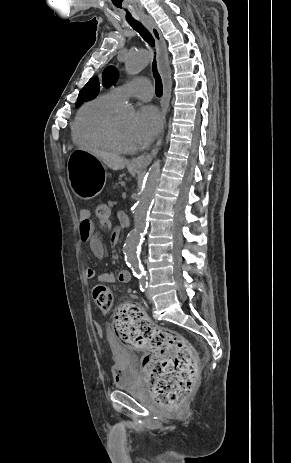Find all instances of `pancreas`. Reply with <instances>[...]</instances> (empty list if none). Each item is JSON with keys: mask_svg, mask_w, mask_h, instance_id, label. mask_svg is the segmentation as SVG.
Segmentation results:
<instances>
[{"mask_svg": "<svg viewBox=\"0 0 291 463\" xmlns=\"http://www.w3.org/2000/svg\"><path fill=\"white\" fill-rule=\"evenodd\" d=\"M123 182L119 179L116 182H112L108 186V191L113 195H119L122 192Z\"/></svg>", "mask_w": 291, "mask_h": 463, "instance_id": "cf45deb5", "label": "pancreas"}]
</instances>
